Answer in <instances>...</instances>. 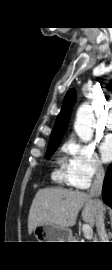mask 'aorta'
<instances>
[{"mask_svg":"<svg viewBox=\"0 0 112 270\" xmlns=\"http://www.w3.org/2000/svg\"><path fill=\"white\" fill-rule=\"evenodd\" d=\"M94 121V113L88 104H83L79 107L74 123V130L78 137L87 142L92 139V123Z\"/></svg>","mask_w":112,"mask_h":270,"instance_id":"1","label":"aorta"}]
</instances>
